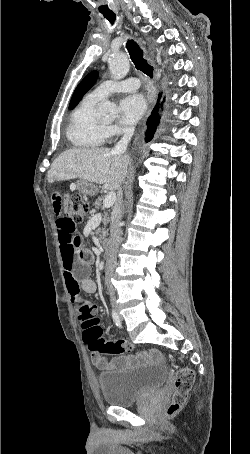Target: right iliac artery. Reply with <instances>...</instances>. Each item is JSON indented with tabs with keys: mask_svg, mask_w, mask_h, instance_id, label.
<instances>
[{
	"mask_svg": "<svg viewBox=\"0 0 250 454\" xmlns=\"http://www.w3.org/2000/svg\"><path fill=\"white\" fill-rule=\"evenodd\" d=\"M112 318H113V321L115 322L116 326L121 327V321L119 319V316L114 310H112Z\"/></svg>",
	"mask_w": 250,
	"mask_h": 454,
	"instance_id": "obj_1",
	"label": "right iliac artery"
}]
</instances>
